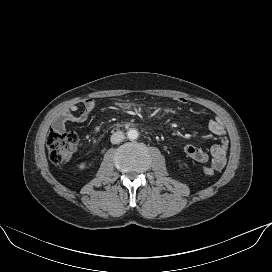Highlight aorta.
<instances>
[{
  "label": "aorta",
  "instance_id": "obj_1",
  "mask_svg": "<svg viewBox=\"0 0 272 272\" xmlns=\"http://www.w3.org/2000/svg\"><path fill=\"white\" fill-rule=\"evenodd\" d=\"M138 131L136 129H130L128 132H127V137L128 139L130 140H135L138 138Z\"/></svg>",
  "mask_w": 272,
  "mask_h": 272
}]
</instances>
